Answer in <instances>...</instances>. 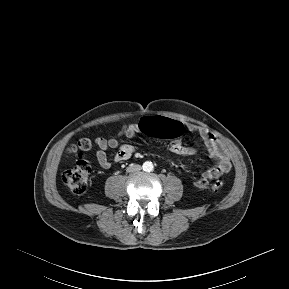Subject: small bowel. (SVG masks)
Segmentation results:
<instances>
[{
    "label": "small bowel",
    "instance_id": "small-bowel-1",
    "mask_svg": "<svg viewBox=\"0 0 289 289\" xmlns=\"http://www.w3.org/2000/svg\"><path fill=\"white\" fill-rule=\"evenodd\" d=\"M138 124L139 123L125 124L115 136L109 138L99 137L96 139L95 143L98 148L96 151V159L102 168L108 169L112 165V161L107 153L109 149L117 150L113 158V162L115 163L126 161L133 155L135 150L134 147L130 144H120V138H132L141 133L138 129ZM181 125L184 128V132L189 131L197 134L202 140L209 156L216 160V165L204 171L195 182L197 188L205 187L211 180L230 171L232 163L229 153L211 132L192 123H181ZM183 133L173 138L169 146L170 150L178 155L195 154L197 152V147L185 144L181 137Z\"/></svg>",
    "mask_w": 289,
    "mask_h": 289
}]
</instances>
